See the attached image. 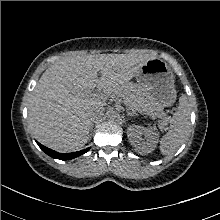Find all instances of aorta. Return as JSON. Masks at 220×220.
I'll use <instances>...</instances> for the list:
<instances>
[{"instance_id":"aorta-1","label":"aorta","mask_w":220,"mask_h":220,"mask_svg":"<svg viewBox=\"0 0 220 220\" xmlns=\"http://www.w3.org/2000/svg\"><path fill=\"white\" fill-rule=\"evenodd\" d=\"M107 118L110 121H115L119 118V113L115 110H110V111L107 112Z\"/></svg>"}]
</instances>
